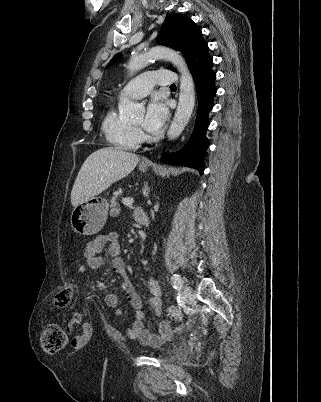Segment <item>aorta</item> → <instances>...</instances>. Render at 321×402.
<instances>
[{"instance_id": "762f6f07", "label": "aorta", "mask_w": 321, "mask_h": 402, "mask_svg": "<svg viewBox=\"0 0 321 402\" xmlns=\"http://www.w3.org/2000/svg\"><path fill=\"white\" fill-rule=\"evenodd\" d=\"M157 59H167L180 73L179 102L167 132L168 139L174 140L183 132L192 115L195 105L194 81L183 56L179 52L163 46L153 47L141 54L132 53L127 68L130 73H134ZM119 110L128 116L135 117L143 110V107L134 102H125L119 106Z\"/></svg>"}]
</instances>
